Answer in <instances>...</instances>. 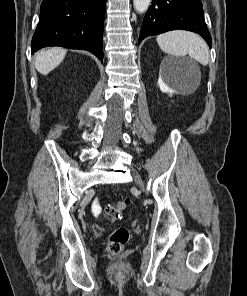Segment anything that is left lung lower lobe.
I'll list each match as a JSON object with an SVG mask.
<instances>
[{
  "mask_svg": "<svg viewBox=\"0 0 247 296\" xmlns=\"http://www.w3.org/2000/svg\"><path fill=\"white\" fill-rule=\"evenodd\" d=\"M175 29L200 34L211 48L201 0H153L143 20L139 43L147 36Z\"/></svg>",
  "mask_w": 247,
  "mask_h": 296,
  "instance_id": "0a47b994",
  "label": "left lung lower lobe"
}]
</instances>
